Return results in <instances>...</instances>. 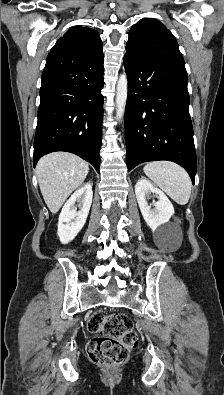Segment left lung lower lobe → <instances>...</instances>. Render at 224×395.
I'll return each instance as SVG.
<instances>
[{
	"label": "left lung lower lobe",
	"mask_w": 224,
	"mask_h": 395,
	"mask_svg": "<svg viewBox=\"0 0 224 395\" xmlns=\"http://www.w3.org/2000/svg\"><path fill=\"white\" fill-rule=\"evenodd\" d=\"M124 67L128 171L143 162L169 160L184 167L194 183L196 152L186 70L129 49Z\"/></svg>",
	"instance_id": "1"
}]
</instances>
